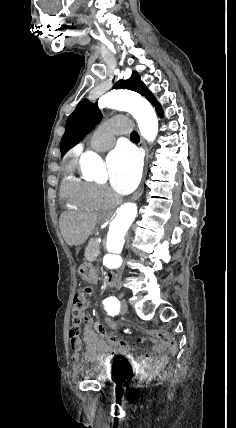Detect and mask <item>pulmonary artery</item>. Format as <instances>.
Listing matches in <instances>:
<instances>
[{"label": "pulmonary artery", "instance_id": "obj_1", "mask_svg": "<svg viewBox=\"0 0 236 428\" xmlns=\"http://www.w3.org/2000/svg\"><path fill=\"white\" fill-rule=\"evenodd\" d=\"M113 146V142H96L94 141L91 145V148L96 151H105Z\"/></svg>", "mask_w": 236, "mask_h": 428}]
</instances>
